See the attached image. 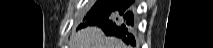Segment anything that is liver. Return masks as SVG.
<instances>
[{"instance_id": "6515ba94", "label": "liver", "mask_w": 213, "mask_h": 48, "mask_svg": "<svg viewBox=\"0 0 213 48\" xmlns=\"http://www.w3.org/2000/svg\"><path fill=\"white\" fill-rule=\"evenodd\" d=\"M71 48H126L122 41L106 37L98 27H86L70 37Z\"/></svg>"}]
</instances>
